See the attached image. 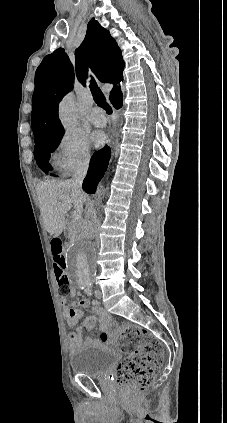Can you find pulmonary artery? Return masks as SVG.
Segmentation results:
<instances>
[{
	"label": "pulmonary artery",
	"mask_w": 227,
	"mask_h": 423,
	"mask_svg": "<svg viewBox=\"0 0 227 423\" xmlns=\"http://www.w3.org/2000/svg\"><path fill=\"white\" fill-rule=\"evenodd\" d=\"M88 120L93 126L98 128H103L107 125L106 115L99 107H94L89 111Z\"/></svg>",
	"instance_id": "pulmonary-artery-1"
}]
</instances>
